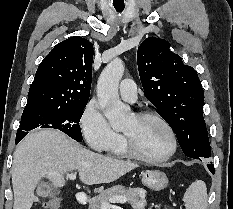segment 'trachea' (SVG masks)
Instances as JSON below:
<instances>
[{
  "label": "trachea",
  "instance_id": "1",
  "mask_svg": "<svg viewBox=\"0 0 233 209\" xmlns=\"http://www.w3.org/2000/svg\"><path fill=\"white\" fill-rule=\"evenodd\" d=\"M117 12H122L124 10V6H114Z\"/></svg>",
  "mask_w": 233,
  "mask_h": 209
}]
</instances>
